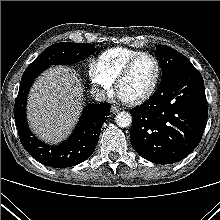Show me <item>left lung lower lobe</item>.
Listing matches in <instances>:
<instances>
[{
	"instance_id": "obj_1",
	"label": "left lung lower lobe",
	"mask_w": 220,
	"mask_h": 220,
	"mask_svg": "<svg viewBox=\"0 0 220 220\" xmlns=\"http://www.w3.org/2000/svg\"><path fill=\"white\" fill-rule=\"evenodd\" d=\"M130 141L144 159L171 164L199 144L208 116L204 81L193 66L171 71L149 100L130 111Z\"/></svg>"
}]
</instances>
